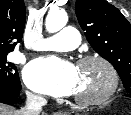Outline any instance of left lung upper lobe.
I'll return each mask as SVG.
<instances>
[{
	"instance_id": "5c2ea615",
	"label": "left lung upper lobe",
	"mask_w": 131,
	"mask_h": 115,
	"mask_svg": "<svg viewBox=\"0 0 131 115\" xmlns=\"http://www.w3.org/2000/svg\"><path fill=\"white\" fill-rule=\"evenodd\" d=\"M75 12L93 49L117 70L131 97V25L105 0H76Z\"/></svg>"
}]
</instances>
